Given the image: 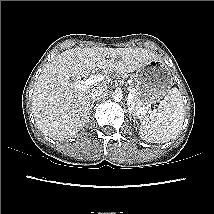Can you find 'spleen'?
Instances as JSON below:
<instances>
[{"mask_svg": "<svg viewBox=\"0 0 214 214\" xmlns=\"http://www.w3.org/2000/svg\"><path fill=\"white\" fill-rule=\"evenodd\" d=\"M185 118L180 91L172 88L158 106V113L141 118L140 137L153 143H165L175 138Z\"/></svg>", "mask_w": 214, "mask_h": 214, "instance_id": "3e777b00", "label": "spleen"}]
</instances>
